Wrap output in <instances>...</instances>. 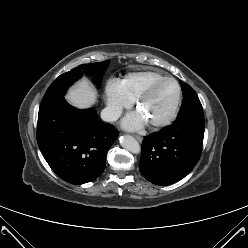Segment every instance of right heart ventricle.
<instances>
[{
  "label": "right heart ventricle",
  "mask_w": 248,
  "mask_h": 248,
  "mask_svg": "<svg viewBox=\"0 0 248 248\" xmlns=\"http://www.w3.org/2000/svg\"><path fill=\"white\" fill-rule=\"evenodd\" d=\"M165 76L157 71L147 70L127 74L121 81L126 95L135 100L151 83Z\"/></svg>",
  "instance_id": "right-heart-ventricle-1"
}]
</instances>
